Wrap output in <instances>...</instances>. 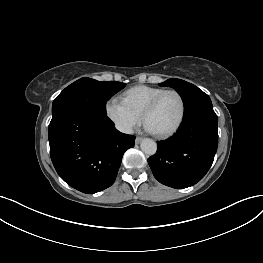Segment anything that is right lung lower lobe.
<instances>
[{
    "mask_svg": "<svg viewBox=\"0 0 263 263\" xmlns=\"http://www.w3.org/2000/svg\"><path fill=\"white\" fill-rule=\"evenodd\" d=\"M48 137L52 163L71 187L87 194L111 186L135 136L120 133L106 114L65 110L52 118Z\"/></svg>",
    "mask_w": 263,
    "mask_h": 263,
    "instance_id": "98d812e1",
    "label": "right lung lower lobe"
}]
</instances>
